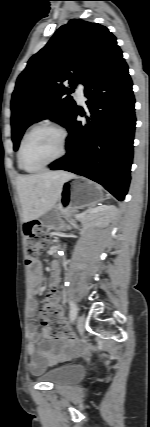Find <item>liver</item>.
<instances>
[{"label": "liver", "instance_id": "1", "mask_svg": "<svg viewBox=\"0 0 150 427\" xmlns=\"http://www.w3.org/2000/svg\"><path fill=\"white\" fill-rule=\"evenodd\" d=\"M73 177L64 171L18 177L16 183L23 221L37 219L50 211L60 198L64 182Z\"/></svg>", "mask_w": 150, "mask_h": 427}]
</instances>
